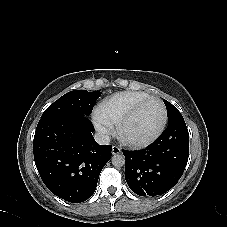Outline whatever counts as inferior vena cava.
I'll return each instance as SVG.
<instances>
[{
    "instance_id": "602c4592",
    "label": "inferior vena cava",
    "mask_w": 227,
    "mask_h": 227,
    "mask_svg": "<svg viewBox=\"0 0 227 227\" xmlns=\"http://www.w3.org/2000/svg\"><path fill=\"white\" fill-rule=\"evenodd\" d=\"M94 139L100 145H107V144L110 143L111 137L108 134H106V133L97 132L94 135Z\"/></svg>"
}]
</instances>
